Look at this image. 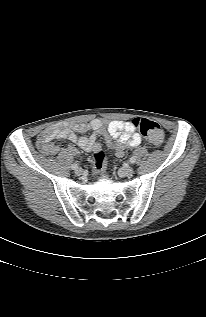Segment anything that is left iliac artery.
<instances>
[{"mask_svg":"<svg viewBox=\"0 0 206 317\" xmlns=\"http://www.w3.org/2000/svg\"><path fill=\"white\" fill-rule=\"evenodd\" d=\"M129 161L131 164H133L136 162V158L134 156H132Z\"/></svg>","mask_w":206,"mask_h":317,"instance_id":"obj_1","label":"left iliac artery"}]
</instances>
